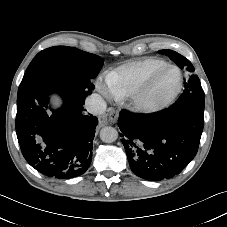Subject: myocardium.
Here are the masks:
<instances>
[{
	"mask_svg": "<svg viewBox=\"0 0 227 227\" xmlns=\"http://www.w3.org/2000/svg\"><path fill=\"white\" fill-rule=\"evenodd\" d=\"M168 70H175L178 73V82L176 86L165 97L158 100L151 99V93L157 80ZM182 85L183 74L181 70L175 65H166L153 73L141 87L130 95L129 105L134 111L139 113L150 114L159 112L174 101L180 93Z\"/></svg>",
	"mask_w": 227,
	"mask_h": 227,
	"instance_id": "f54148a6",
	"label": "myocardium"
}]
</instances>
